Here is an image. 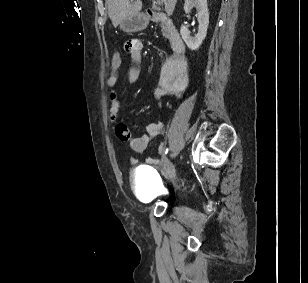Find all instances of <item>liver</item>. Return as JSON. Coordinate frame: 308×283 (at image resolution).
<instances>
[{
	"instance_id": "6515ba94",
	"label": "liver",
	"mask_w": 308,
	"mask_h": 283,
	"mask_svg": "<svg viewBox=\"0 0 308 283\" xmlns=\"http://www.w3.org/2000/svg\"><path fill=\"white\" fill-rule=\"evenodd\" d=\"M165 4V11L172 14L177 0H161ZM108 6V16L114 27L129 16L138 14L142 9L141 0H106Z\"/></svg>"
}]
</instances>
